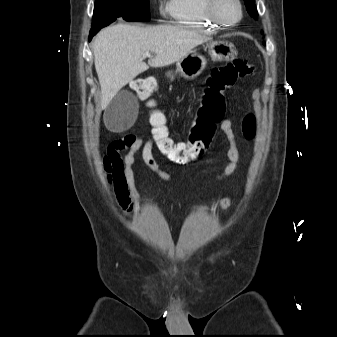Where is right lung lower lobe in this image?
<instances>
[{"mask_svg":"<svg viewBox=\"0 0 337 337\" xmlns=\"http://www.w3.org/2000/svg\"><path fill=\"white\" fill-rule=\"evenodd\" d=\"M109 24H97L92 27L90 30V35H89V41L92 39V37L103 27L107 26Z\"/></svg>","mask_w":337,"mask_h":337,"instance_id":"1","label":"right lung lower lobe"}]
</instances>
